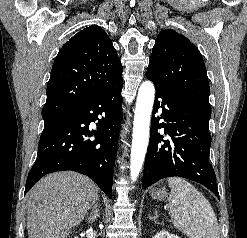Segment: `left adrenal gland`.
I'll return each instance as SVG.
<instances>
[{"instance_id": "obj_1", "label": "left adrenal gland", "mask_w": 247, "mask_h": 238, "mask_svg": "<svg viewBox=\"0 0 247 238\" xmlns=\"http://www.w3.org/2000/svg\"><path fill=\"white\" fill-rule=\"evenodd\" d=\"M149 218L152 219L155 223H158V221H157V211H155L154 215L150 216Z\"/></svg>"}]
</instances>
